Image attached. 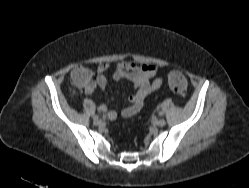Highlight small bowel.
<instances>
[{
  "label": "small bowel",
  "instance_id": "small-bowel-1",
  "mask_svg": "<svg viewBox=\"0 0 249 188\" xmlns=\"http://www.w3.org/2000/svg\"><path fill=\"white\" fill-rule=\"evenodd\" d=\"M109 64L101 63L97 67V75L92 76L90 70L84 67L75 68L71 77L74 85L83 89L89 96L93 95L96 89H104L107 85L106 73ZM81 74V79L76 76ZM158 68L153 64H141L138 62H121L117 64L113 71V79L116 81L128 79L133 84V92L127 100V106L122 110V116L129 118L136 115L143 107L145 99L162 85V78L157 76ZM98 109L107 114L111 120L115 119L117 114L109 110L104 104H100Z\"/></svg>",
  "mask_w": 249,
  "mask_h": 188
}]
</instances>
